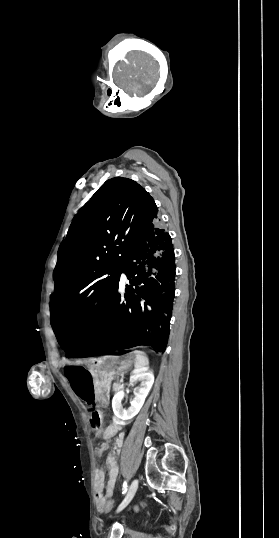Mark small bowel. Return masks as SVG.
<instances>
[{
	"mask_svg": "<svg viewBox=\"0 0 279 538\" xmlns=\"http://www.w3.org/2000/svg\"><path fill=\"white\" fill-rule=\"evenodd\" d=\"M66 378L74 394L92 410L90 415V425L95 431L96 436L101 440L96 448V452L98 454H103L108 448L107 440L115 436L114 451L106 459V466L108 469L107 482L105 483V473L102 469H98L95 476L97 504L101 507L106 499L113 495L115 490L119 473L116 455L121 450L124 442V434L120 433L123 424L112 422L107 427H103L104 414L96 402L94 380L88 371L84 369H70L66 373Z\"/></svg>",
	"mask_w": 279,
	"mask_h": 538,
	"instance_id": "obj_1",
	"label": "small bowel"
}]
</instances>
